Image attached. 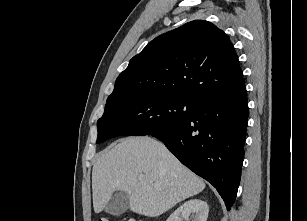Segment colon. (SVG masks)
Here are the masks:
<instances>
[{"label":"colon","instance_id":"5ec220e1","mask_svg":"<svg viewBox=\"0 0 307 221\" xmlns=\"http://www.w3.org/2000/svg\"><path fill=\"white\" fill-rule=\"evenodd\" d=\"M98 221H109V220L107 218H100ZM128 221H143V220L139 218H131Z\"/></svg>","mask_w":307,"mask_h":221}]
</instances>
